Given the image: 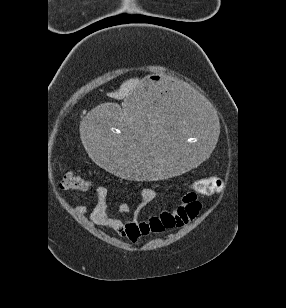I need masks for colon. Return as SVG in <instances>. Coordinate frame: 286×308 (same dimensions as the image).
I'll return each instance as SVG.
<instances>
[{"label": "colon", "instance_id": "1", "mask_svg": "<svg viewBox=\"0 0 286 308\" xmlns=\"http://www.w3.org/2000/svg\"><path fill=\"white\" fill-rule=\"evenodd\" d=\"M60 186L66 190L83 191L89 188L90 184L84 177L65 170L60 178ZM224 186L223 181L217 177H209L199 180L195 190L199 194L208 195L220 191Z\"/></svg>", "mask_w": 286, "mask_h": 308}]
</instances>
